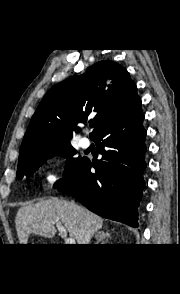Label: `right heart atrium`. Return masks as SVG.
Returning <instances> with one entry per match:
<instances>
[{"instance_id":"obj_1","label":"right heart atrium","mask_w":180,"mask_h":294,"mask_svg":"<svg viewBox=\"0 0 180 294\" xmlns=\"http://www.w3.org/2000/svg\"><path fill=\"white\" fill-rule=\"evenodd\" d=\"M44 182L47 186L55 184L60 177V162L53 160L44 171Z\"/></svg>"}]
</instances>
